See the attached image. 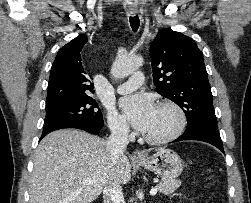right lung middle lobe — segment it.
<instances>
[{
  "mask_svg": "<svg viewBox=\"0 0 251 203\" xmlns=\"http://www.w3.org/2000/svg\"><path fill=\"white\" fill-rule=\"evenodd\" d=\"M66 119H80L98 127H103L102 113L92 97L46 107L45 124Z\"/></svg>",
  "mask_w": 251,
  "mask_h": 203,
  "instance_id": "obj_1",
  "label": "right lung middle lobe"
}]
</instances>
